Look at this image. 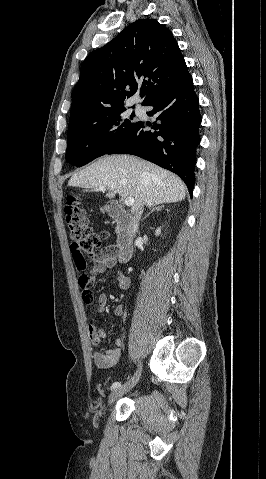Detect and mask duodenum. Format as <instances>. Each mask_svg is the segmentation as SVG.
<instances>
[{
  "mask_svg": "<svg viewBox=\"0 0 266 479\" xmlns=\"http://www.w3.org/2000/svg\"><path fill=\"white\" fill-rule=\"evenodd\" d=\"M109 215L119 224L120 233L115 249L117 260L121 263L131 259L134 252L135 219L120 204L111 202L108 205Z\"/></svg>",
  "mask_w": 266,
  "mask_h": 479,
  "instance_id": "1",
  "label": "duodenum"
}]
</instances>
